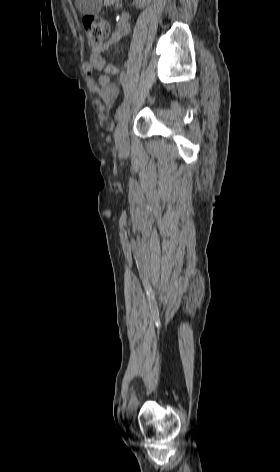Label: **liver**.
<instances>
[{
    "mask_svg": "<svg viewBox=\"0 0 280 472\" xmlns=\"http://www.w3.org/2000/svg\"><path fill=\"white\" fill-rule=\"evenodd\" d=\"M117 0H104L105 6L113 5Z\"/></svg>",
    "mask_w": 280,
    "mask_h": 472,
    "instance_id": "liver-1",
    "label": "liver"
}]
</instances>
